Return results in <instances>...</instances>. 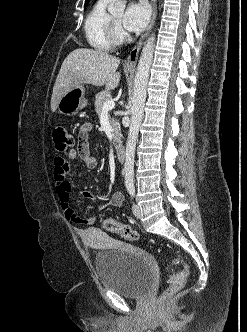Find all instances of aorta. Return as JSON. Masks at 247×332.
I'll list each match as a JSON object with an SVG mask.
<instances>
[{
  "label": "aorta",
  "mask_w": 247,
  "mask_h": 332,
  "mask_svg": "<svg viewBox=\"0 0 247 332\" xmlns=\"http://www.w3.org/2000/svg\"><path fill=\"white\" fill-rule=\"evenodd\" d=\"M125 10V3L122 0H115L108 7L111 14H123ZM155 46V33H152L147 39L137 66V71L134 79L132 108H131V124L126 144L125 152V186L128 190L134 188V156L136 142L138 138L139 128L142 123L144 115V106L146 101L147 84L149 78L150 67L153 59V52Z\"/></svg>",
  "instance_id": "1"
}]
</instances>
